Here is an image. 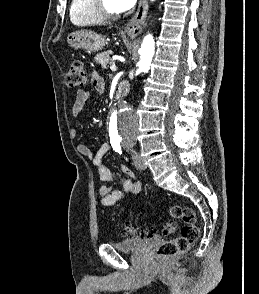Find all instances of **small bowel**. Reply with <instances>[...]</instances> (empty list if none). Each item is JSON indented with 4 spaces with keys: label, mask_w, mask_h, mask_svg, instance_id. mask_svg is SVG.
<instances>
[{
    "label": "small bowel",
    "mask_w": 259,
    "mask_h": 294,
    "mask_svg": "<svg viewBox=\"0 0 259 294\" xmlns=\"http://www.w3.org/2000/svg\"><path fill=\"white\" fill-rule=\"evenodd\" d=\"M92 85L98 93H103L105 90L104 81L97 73L92 74ZM90 99V93L87 90H78L75 100L72 104V115L77 117L83 111L85 105ZM71 134L75 136L76 130L72 128ZM80 154L88 158L96 167L98 176L104 182H118L120 189H111L107 186L100 188L101 203L103 206H112L127 195L138 196L142 190V182L139 180H132L133 172L127 167L122 166V172L127 176L126 178L117 177L108 167L103 164L104 156L110 151V146L105 144L100 147L97 152H93L90 147L84 143L77 146Z\"/></svg>",
    "instance_id": "obj_1"
}]
</instances>
